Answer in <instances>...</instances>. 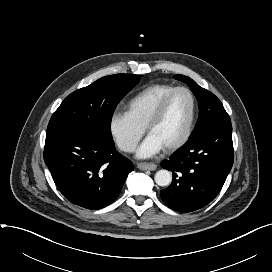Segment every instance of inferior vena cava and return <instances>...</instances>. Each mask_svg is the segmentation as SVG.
Returning a JSON list of instances; mask_svg holds the SVG:
<instances>
[{
  "label": "inferior vena cava",
  "instance_id": "obj_1",
  "mask_svg": "<svg viewBox=\"0 0 272 272\" xmlns=\"http://www.w3.org/2000/svg\"><path fill=\"white\" fill-rule=\"evenodd\" d=\"M135 148H136V145H134V144H128V145H126L124 147V150L125 151H129V152H133L135 150Z\"/></svg>",
  "mask_w": 272,
  "mask_h": 272
}]
</instances>
